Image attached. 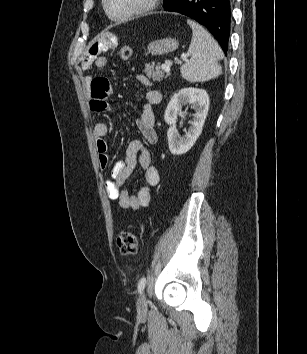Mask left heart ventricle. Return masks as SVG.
<instances>
[{
  "mask_svg": "<svg viewBox=\"0 0 307 354\" xmlns=\"http://www.w3.org/2000/svg\"><path fill=\"white\" fill-rule=\"evenodd\" d=\"M145 0H109L108 6L112 15L121 16L139 7Z\"/></svg>",
  "mask_w": 307,
  "mask_h": 354,
  "instance_id": "1",
  "label": "left heart ventricle"
}]
</instances>
